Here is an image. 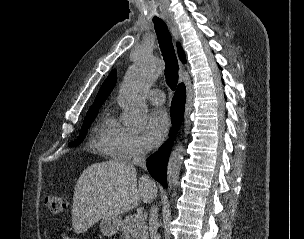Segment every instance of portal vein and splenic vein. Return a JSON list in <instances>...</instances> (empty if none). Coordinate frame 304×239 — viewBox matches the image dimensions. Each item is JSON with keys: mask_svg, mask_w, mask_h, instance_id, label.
Returning <instances> with one entry per match:
<instances>
[{"mask_svg": "<svg viewBox=\"0 0 304 239\" xmlns=\"http://www.w3.org/2000/svg\"><path fill=\"white\" fill-rule=\"evenodd\" d=\"M140 215H141V214H140V213H138V214H137V217H139Z\"/></svg>", "mask_w": 304, "mask_h": 239, "instance_id": "1", "label": "portal vein and splenic vein"}]
</instances>
